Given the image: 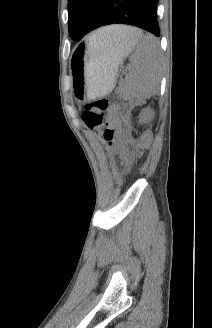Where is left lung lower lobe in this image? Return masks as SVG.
Here are the masks:
<instances>
[{
    "mask_svg": "<svg viewBox=\"0 0 212 328\" xmlns=\"http://www.w3.org/2000/svg\"><path fill=\"white\" fill-rule=\"evenodd\" d=\"M158 1L103 0L90 31L104 25L121 23L133 25L155 36H160L156 14Z\"/></svg>",
    "mask_w": 212,
    "mask_h": 328,
    "instance_id": "1",
    "label": "left lung lower lobe"
}]
</instances>
